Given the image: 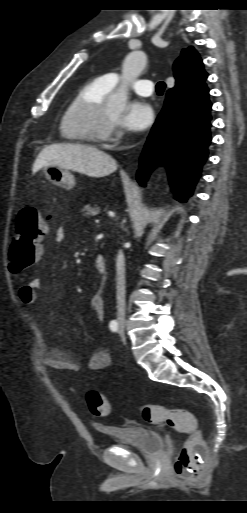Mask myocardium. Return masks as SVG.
Listing matches in <instances>:
<instances>
[{
	"mask_svg": "<svg viewBox=\"0 0 247 513\" xmlns=\"http://www.w3.org/2000/svg\"><path fill=\"white\" fill-rule=\"evenodd\" d=\"M106 102L90 105L78 112L71 120L72 131L94 142L106 141L111 138L114 120L106 114Z\"/></svg>",
	"mask_w": 247,
	"mask_h": 513,
	"instance_id": "f54148a6",
	"label": "myocardium"
}]
</instances>
